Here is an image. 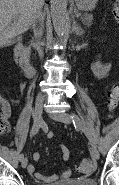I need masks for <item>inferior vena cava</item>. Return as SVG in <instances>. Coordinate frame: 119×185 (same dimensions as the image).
Instances as JSON below:
<instances>
[{
	"instance_id": "inferior-vena-cava-1",
	"label": "inferior vena cava",
	"mask_w": 119,
	"mask_h": 185,
	"mask_svg": "<svg viewBox=\"0 0 119 185\" xmlns=\"http://www.w3.org/2000/svg\"><path fill=\"white\" fill-rule=\"evenodd\" d=\"M43 19H44V14L41 12V11H38L35 15V20H34V23H33V32H34V36L36 38V41H37V47H38V53H39V56L40 58L42 59L43 58V51L40 47V38L43 34V30L42 28H38L36 27V23L39 21L40 23L43 22ZM39 97H41V95H39Z\"/></svg>"
}]
</instances>
